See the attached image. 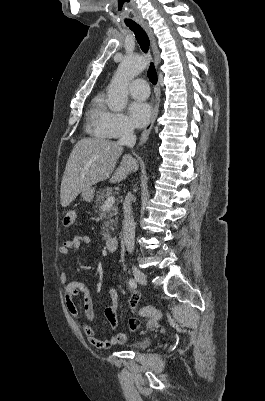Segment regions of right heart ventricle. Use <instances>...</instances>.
I'll return each mask as SVG.
<instances>
[{"label": "right heart ventricle", "mask_w": 265, "mask_h": 401, "mask_svg": "<svg viewBox=\"0 0 265 401\" xmlns=\"http://www.w3.org/2000/svg\"><path fill=\"white\" fill-rule=\"evenodd\" d=\"M104 109H105V103H104L103 94H101V93L96 94L90 101L88 115L92 116V128H93L94 134L98 138H101L102 141H104L106 143H110L111 140H109V138H111V136H109L101 128L100 123H99V116H101ZM126 138L127 137L119 138V139L124 140Z\"/></svg>", "instance_id": "e07e8e85"}]
</instances>
